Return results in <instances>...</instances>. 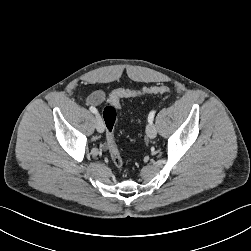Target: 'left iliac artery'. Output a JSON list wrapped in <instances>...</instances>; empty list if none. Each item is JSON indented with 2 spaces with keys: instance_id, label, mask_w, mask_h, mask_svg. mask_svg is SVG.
Returning a JSON list of instances; mask_svg holds the SVG:
<instances>
[{
  "instance_id": "left-iliac-artery-1",
  "label": "left iliac artery",
  "mask_w": 251,
  "mask_h": 251,
  "mask_svg": "<svg viewBox=\"0 0 251 251\" xmlns=\"http://www.w3.org/2000/svg\"><path fill=\"white\" fill-rule=\"evenodd\" d=\"M155 113H156V111H155V110H152V111L149 113V115H148V122H149L150 124L153 123V119H154Z\"/></svg>"
}]
</instances>
